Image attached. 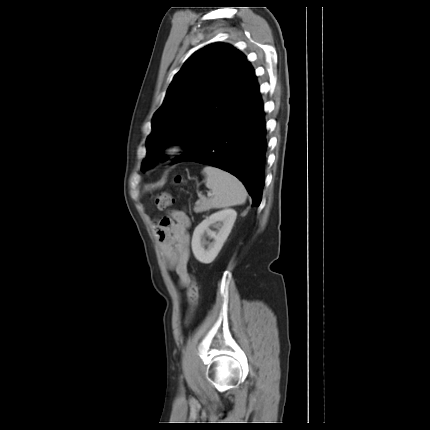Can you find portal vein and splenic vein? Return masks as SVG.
I'll return each instance as SVG.
<instances>
[{"mask_svg":"<svg viewBox=\"0 0 430 430\" xmlns=\"http://www.w3.org/2000/svg\"><path fill=\"white\" fill-rule=\"evenodd\" d=\"M207 196H213V193H210V192H209V193L207 194Z\"/></svg>","mask_w":430,"mask_h":430,"instance_id":"18ae733b","label":"portal vein and splenic vein"}]
</instances>
